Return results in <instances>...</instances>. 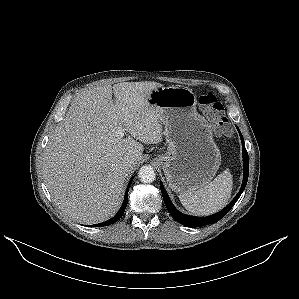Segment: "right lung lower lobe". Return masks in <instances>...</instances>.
<instances>
[{"label":"right lung lower lobe","instance_id":"1","mask_svg":"<svg viewBox=\"0 0 299 299\" xmlns=\"http://www.w3.org/2000/svg\"><path fill=\"white\" fill-rule=\"evenodd\" d=\"M132 180H133V179H131V181H130V183H129V185H128V188H127V190H126V194H125V199H124V201H123V205L121 206V208H120V210L117 212V214H116L113 218H111V219H109V220H107V221H105V222H102V223H99V224H95V225H90V226H94V227L107 226V225H110V224L115 223L117 220H119V219L121 218V216L123 215V213H124V211H125V208H126V206H127L128 191H129V187H130V185H131Z\"/></svg>","mask_w":299,"mask_h":299}]
</instances>
